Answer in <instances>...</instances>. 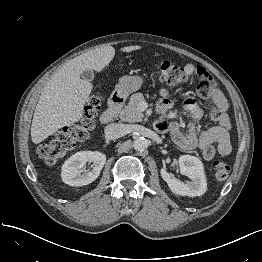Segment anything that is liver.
<instances>
[{
	"label": "liver",
	"mask_w": 262,
	"mask_h": 262,
	"mask_svg": "<svg viewBox=\"0 0 262 262\" xmlns=\"http://www.w3.org/2000/svg\"><path fill=\"white\" fill-rule=\"evenodd\" d=\"M142 47L127 46L122 52L140 50ZM115 49L103 46L73 58L64 64L44 87L35 108L31 138L38 144L58 129L72 125L83 117V107L92 90V84L81 79L85 70L101 72L112 61Z\"/></svg>",
	"instance_id": "liver-1"
}]
</instances>
